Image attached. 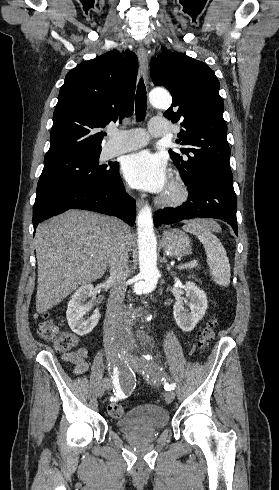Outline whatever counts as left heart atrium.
<instances>
[{
  "label": "left heart atrium",
  "instance_id": "left-heart-atrium-1",
  "mask_svg": "<svg viewBox=\"0 0 279 490\" xmlns=\"http://www.w3.org/2000/svg\"><path fill=\"white\" fill-rule=\"evenodd\" d=\"M122 172L127 183L136 189L150 193H164L168 189L166 161L149 151L127 156L122 165Z\"/></svg>",
  "mask_w": 279,
  "mask_h": 490
}]
</instances>
